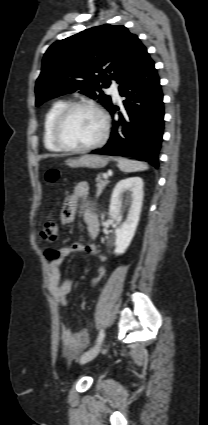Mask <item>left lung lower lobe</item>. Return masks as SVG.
Here are the masks:
<instances>
[{"label": "left lung lower lobe", "mask_w": 208, "mask_h": 425, "mask_svg": "<svg viewBox=\"0 0 208 425\" xmlns=\"http://www.w3.org/2000/svg\"><path fill=\"white\" fill-rule=\"evenodd\" d=\"M125 110L113 122L111 136L94 154L131 157L159 167L158 153L164 129L163 94L154 62L146 53L138 68L119 86ZM113 116L118 107L109 106Z\"/></svg>", "instance_id": "obj_1"}]
</instances>
